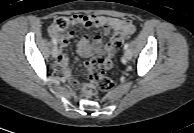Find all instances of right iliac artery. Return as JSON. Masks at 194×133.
I'll return each instance as SVG.
<instances>
[{"label": "right iliac artery", "mask_w": 194, "mask_h": 133, "mask_svg": "<svg viewBox=\"0 0 194 133\" xmlns=\"http://www.w3.org/2000/svg\"><path fill=\"white\" fill-rule=\"evenodd\" d=\"M53 44L56 46L57 45V40L55 38H52Z\"/></svg>", "instance_id": "82829eb1"}]
</instances>
